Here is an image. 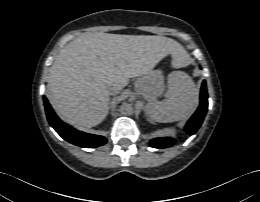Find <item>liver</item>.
<instances>
[{
	"mask_svg": "<svg viewBox=\"0 0 260 202\" xmlns=\"http://www.w3.org/2000/svg\"><path fill=\"white\" fill-rule=\"evenodd\" d=\"M168 54L172 67L188 55L175 40L163 36L86 33L67 44L50 69L49 101L63 119L91 128L108 114L110 89L151 71Z\"/></svg>",
	"mask_w": 260,
	"mask_h": 202,
	"instance_id": "obj_1",
	"label": "liver"
}]
</instances>
